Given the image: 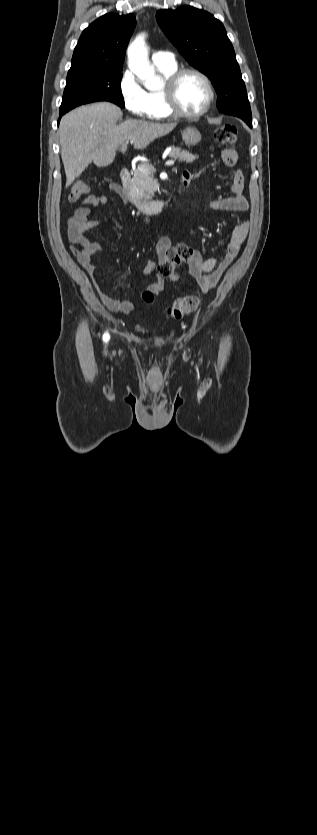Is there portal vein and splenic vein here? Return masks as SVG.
Returning <instances> with one entry per match:
<instances>
[{"instance_id":"portal-vein-and-splenic-vein-1","label":"portal vein and splenic vein","mask_w":317,"mask_h":835,"mask_svg":"<svg viewBox=\"0 0 317 835\" xmlns=\"http://www.w3.org/2000/svg\"><path fill=\"white\" fill-rule=\"evenodd\" d=\"M126 150H127V144H123V145L121 146V151H122V153L126 152ZM165 165H166V166H173V165H174V161H173V160L166 161V162H165ZM138 169H139L140 171H143V172H145V171L147 170V169H146V167H145V166H143V165H139V166H138ZM152 169H153V170H155V169H154V167H153Z\"/></svg>"}]
</instances>
